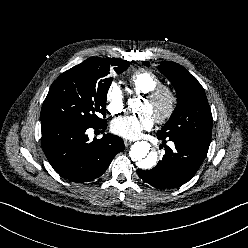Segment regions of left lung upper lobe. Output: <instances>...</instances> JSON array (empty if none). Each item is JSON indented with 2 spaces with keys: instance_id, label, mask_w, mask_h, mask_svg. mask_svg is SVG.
Masks as SVG:
<instances>
[{
  "instance_id": "obj_1",
  "label": "left lung upper lobe",
  "mask_w": 248,
  "mask_h": 248,
  "mask_svg": "<svg viewBox=\"0 0 248 248\" xmlns=\"http://www.w3.org/2000/svg\"><path fill=\"white\" fill-rule=\"evenodd\" d=\"M143 64L149 66V62ZM158 69L170 80L178 94L174 112L158 133L166 138H179L209 147L212 114L203 87L177 63L162 61Z\"/></svg>"
}]
</instances>
